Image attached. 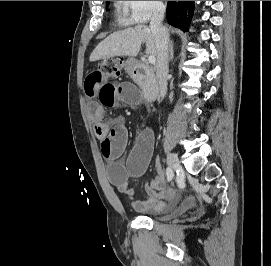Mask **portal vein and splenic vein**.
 Here are the masks:
<instances>
[{
    "label": "portal vein and splenic vein",
    "mask_w": 271,
    "mask_h": 266,
    "mask_svg": "<svg viewBox=\"0 0 271 266\" xmlns=\"http://www.w3.org/2000/svg\"><path fill=\"white\" fill-rule=\"evenodd\" d=\"M148 62H149L150 64H155V62H156V57H155V56H149Z\"/></svg>",
    "instance_id": "obj_1"
}]
</instances>
